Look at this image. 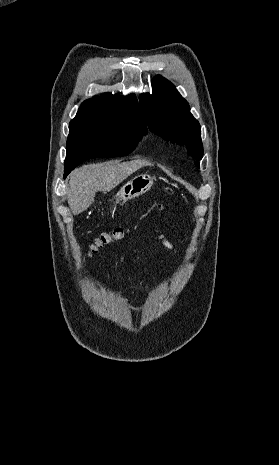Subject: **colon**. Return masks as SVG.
I'll list each match as a JSON object with an SVG mask.
<instances>
[{
  "label": "colon",
  "instance_id": "colon-1",
  "mask_svg": "<svg viewBox=\"0 0 279 465\" xmlns=\"http://www.w3.org/2000/svg\"><path fill=\"white\" fill-rule=\"evenodd\" d=\"M157 209L161 211L163 207L159 205ZM127 231L128 230L126 228L118 227L111 232L102 233L91 245L90 254L98 253L101 249L108 246L112 242L122 239L127 234Z\"/></svg>",
  "mask_w": 279,
  "mask_h": 465
}]
</instances>
